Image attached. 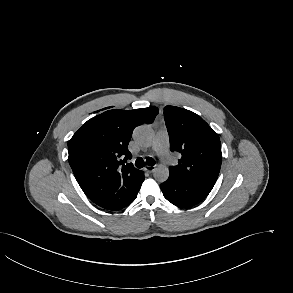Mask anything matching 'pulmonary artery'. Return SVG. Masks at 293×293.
Segmentation results:
<instances>
[{
    "label": "pulmonary artery",
    "mask_w": 293,
    "mask_h": 293,
    "mask_svg": "<svg viewBox=\"0 0 293 293\" xmlns=\"http://www.w3.org/2000/svg\"><path fill=\"white\" fill-rule=\"evenodd\" d=\"M153 151L159 155L163 162H172V156L169 152V134L166 129H162L156 134Z\"/></svg>",
    "instance_id": "pulmonary-artery-1"
}]
</instances>
